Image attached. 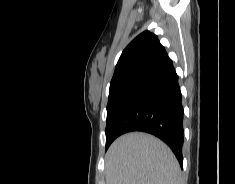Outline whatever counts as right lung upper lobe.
Wrapping results in <instances>:
<instances>
[{
    "label": "right lung upper lobe",
    "mask_w": 235,
    "mask_h": 184,
    "mask_svg": "<svg viewBox=\"0 0 235 184\" xmlns=\"http://www.w3.org/2000/svg\"><path fill=\"white\" fill-rule=\"evenodd\" d=\"M168 55L157 36L144 31L122 52L110 83V91L139 80L156 68Z\"/></svg>",
    "instance_id": "right-lung-upper-lobe-1"
}]
</instances>
